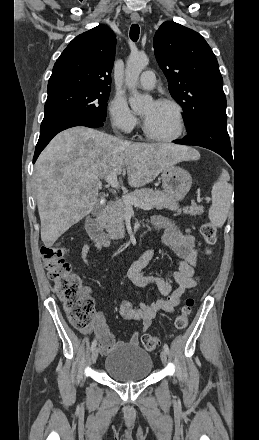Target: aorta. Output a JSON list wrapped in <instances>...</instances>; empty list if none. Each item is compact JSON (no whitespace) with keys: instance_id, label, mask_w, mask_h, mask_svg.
<instances>
[{"instance_id":"1","label":"aorta","mask_w":259,"mask_h":440,"mask_svg":"<svg viewBox=\"0 0 259 440\" xmlns=\"http://www.w3.org/2000/svg\"><path fill=\"white\" fill-rule=\"evenodd\" d=\"M149 59L143 53L131 54L125 69V84L130 91L129 103L133 111H141L152 102L148 94H141L137 90L139 75L148 65Z\"/></svg>"}]
</instances>
